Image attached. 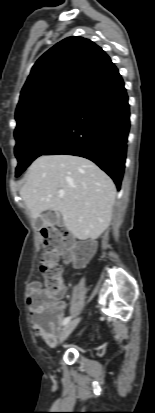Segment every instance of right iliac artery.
Returning <instances> with one entry per match:
<instances>
[{"instance_id": "1", "label": "right iliac artery", "mask_w": 155, "mask_h": 413, "mask_svg": "<svg viewBox=\"0 0 155 413\" xmlns=\"http://www.w3.org/2000/svg\"><path fill=\"white\" fill-rule=\"evenodd\" d=\"M71 320V317H66L63 321V325H67Z\"/></svg>"}]
</instances>
